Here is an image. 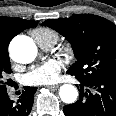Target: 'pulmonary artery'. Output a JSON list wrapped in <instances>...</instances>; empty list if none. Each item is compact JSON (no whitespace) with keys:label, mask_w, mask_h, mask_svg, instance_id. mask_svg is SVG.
Returning <instances> with one entry per match:
<instances>
[{"label":"pulmonary artery","mask_w":116,"mask_h":116,"mask_svg":"<svg viewBox=\"0 0 116 116\" xmlns=\"http://www.w3.org/2000/svg\"><path fill=\"white\" fill-rule=\"evenodd\" d=\"M42 47V46H41ZM53 46H50V45H48V46H43L42 48L43 49H51Z\"/></svg>","instance_id":"1"}]
</instances>
